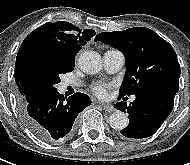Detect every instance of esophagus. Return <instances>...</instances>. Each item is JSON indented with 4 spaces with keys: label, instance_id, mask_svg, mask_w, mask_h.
Returning <instances> with one entry per match:
<instances>
[{
    "label": "esophagus",
    "instance_id": "esophagus-1",
    "mask_svg": "<svg viewBox=\"0 0 190 165\" xmlns=\"http://www.w3.org/2000/svg\"><path fill=\"white\" fill-rule=\"evenodd\" d=\"M102 107H103V109L105 110V111H107V112H113L115 109H114V107L112 106V105H109V104H104V103H99Z\"/></svg>",
    "mask_w": 190,
    "mask_h": 165
}]
</instances>
